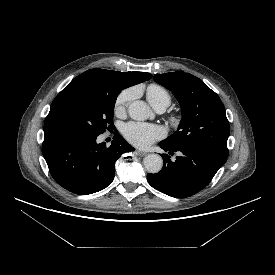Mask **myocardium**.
<instances>
[{
    "label": "myocardium",
    "mask_w": 275,
    "mask_h": 275,
    "mask_svg": "<svg viewBox=\"0 0 275 275\" xmlns=\"http://www.w3.org/2000/svg\"><path fill=\"white\" fill-rule=\"evenodd\" d=\"M170 120L173 124H178L180 121V116L176 113L171 114Z\"/></svg>",
    "instance_id": "myocardium-1"
}]
</instances>
